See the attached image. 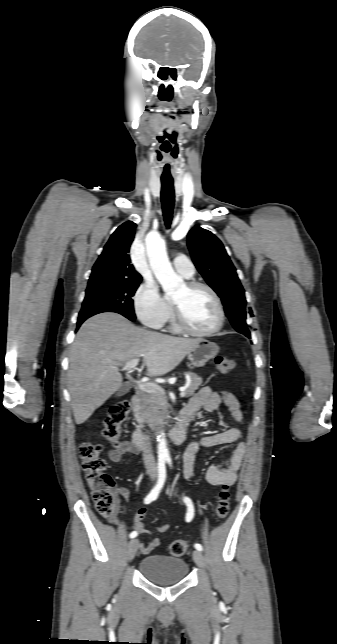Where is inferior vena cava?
<instances>
[{"mask_svg":"<svg viewBox=\"0 0 337 644\" xmlns=\"http://www.w3.org/2000/svg\"><path fill=\"white\" fill-rule=\"evenodd\" d=\"M143 461L147 469V473L156 474V463L151 451L150 442L146 441L143 448Z\"/></svg>","mask_w":337,"mask_h":644,"instance_id":"1","label":"inferior vena cava"}]
</instances>
